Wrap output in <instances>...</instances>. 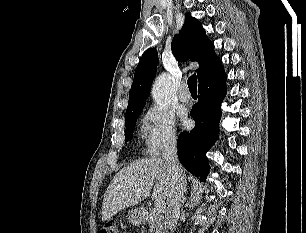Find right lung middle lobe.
<instances>
[{
  "label": "right lung middle lobe",
  "mask_w": 306,
  "mask_h": 233,
  "mask_svg": "<svg viewBox=\"0 0 306 233\" xmlns=\"http://www.w3.org/2000/svg\"><path fill=\"white\" fill-rule=\"evenodd\" d=\"M142 110L135 112L131 115L126 116V132H125V142L131 140L133 134V128L137 121V117L139 116Z\"/></svg>",
  "instance_id": "right-lung-middle-lobe-1"
}]
</instances>
